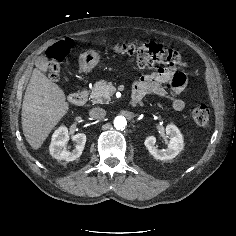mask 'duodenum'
<instances>
[{
  "mask_svg": "<svg viewBox=\"0 0 236 236\" xmlns=\"http://www.w3.org/2000/svg\"><path fill=\"white\" fill-rule=\"evenodd\" d=\"M87 100V91L85 88L79 89L75 92H73L70 96H69V101L71 104L75 105V106H82L85 104ZM140 101V98L138 96H133L132 100H131V105L133 107H135Z\"/></svg>",
  "mask_w": 236,
  "mask_h": 236,
  "instance_id": "obj_1",
  "label": "duodenum"
}]
</instances>
